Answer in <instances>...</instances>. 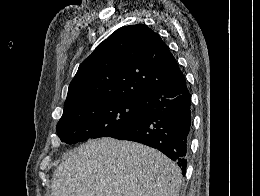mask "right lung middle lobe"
Segmentation results:
<instances>
[{
  "instance_id": "dd1d6c3e",
  "label": "right lung middle lobe",
  "mask_w": 260,
  "mask_h": 196,
  "mask_svg": "<svg viewBox=\"0 0 260 196\" xmlns=\"http://www.w3.org/2000/svg\"><path fill=\"white\" fill-rule=\"evenodd\" d=\"M145 117L137 99L107 95L64 107L56 129L62 142L74 144L89 138L111 137Z\"/></svg>"
}]
</instances>
